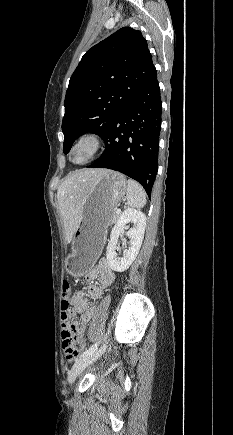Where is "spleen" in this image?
<instances>
[{
    "label": "spleen",
    "mask_w": 233,
    "mask_h": 435,
    "mask_svg": "<svg viewBox=\"0 0 233 435\" xmlns=\"http://www.w3.org/2000/svg\"><path fill=\"white\" fill-rule=\"evenodd\" d=\"M126 198L131 207L142 208L146 204V193L143 187L132 179L127 181Z\"/></svg>",
    "instance_id": "obj_1"
}]
</instances>
